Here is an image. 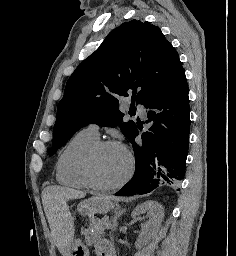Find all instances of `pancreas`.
Wrapping results in <instances>:
<instances>
[{
    "instance_id": "pancreas-1",
    "label": "pancreas",
    "mask_w": 236,
    "mask_h": 256,
    "mask_svg": "<svg viewBox=\"0 0 236 256\" xmlns=\"http://www.w3.org/2000/svg\"><path fill=\"white\" fill-rule=\"evenodd\" d=\"M108 224V218H104V220H97V222H91V227H97V230L91 234L90 227H83L82 234L85 236V242H87V246H92V243H101L102 236H105V230H111Z\"/></svg>"
}]
</instances>
